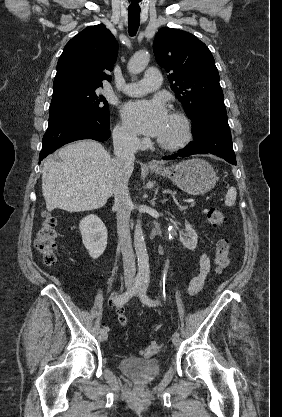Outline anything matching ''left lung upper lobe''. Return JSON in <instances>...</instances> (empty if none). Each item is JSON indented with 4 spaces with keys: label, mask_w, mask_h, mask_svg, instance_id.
Instances as JSON below:
<instances>
[{
    "label": "left lung upper lobe",
    "mask_w": 282,
    "mask_h": 417,
    "mask_svg": "<svg viewBox=\"0 0 282 417\" xmlns=\"http://www.w3.org/2000/svg\"><path fill=\"white\" fill-rule=\"evenodd\" d=\"M157 63L192 122L201 111L225 107L219 73L208 47L191 33L164 27L154 38Z\"/></svg>",
    "instance_id": "5c2ea615"
}]
</instances>
